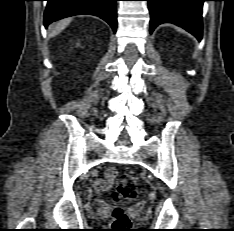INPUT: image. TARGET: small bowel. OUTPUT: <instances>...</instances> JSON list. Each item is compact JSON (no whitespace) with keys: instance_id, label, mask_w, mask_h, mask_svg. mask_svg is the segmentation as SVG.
<instances>
[{"instance_id":"1","label":"small bowel","mask_w":234,"mask_h":231,"mask_svg":"<svg viewBox=\"0 0 234 231\" xmlns=\"http://www.w3.org/2000/svg\"><path fill=\"white\" fill-rule=\"evenodd\" d=\"M116 171L114 169H109L106 171L104 177L96 179L94 182V188L95 190L100 193L105 190H108L115 179Z\"/></svg>"}]
</instances>
